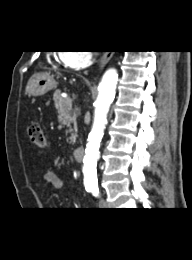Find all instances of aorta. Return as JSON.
Returning a JSON list of instances; mask_svg holds the SVG:
<instances>
[{
    "label": "aorta",
    "mask_w": 192,
    "mask_h": 260,
    "mask_svg": "<svg viewBox=\"0 0 192 260\" xmlns=\"http://www.w3.org/2000/svg\"><path fill=\"white\" fill-rule=\"evenodd\" d=\"M118 81L116 69L107 70L98 87V97L95 102L94 121L88 136V143L83 159L84 183L93 185L97 183V162L100 158L99 147L107 123V114L115 97Z\"/></svg>",
    "instance_id": "aorta-1"
}]
</instances>
